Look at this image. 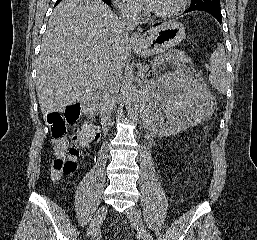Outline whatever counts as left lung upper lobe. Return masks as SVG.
<instances>
[{"instance_id":"5c2ea615","label":"left lung upper lobe","mask_w":257,"mask_h":240,"mask_svg":"<svg viewBox=\"0 0 257 240\" xmlns=\"http://www.w3.org/2000/svg\"><path fill=\"white\" fill-rule=\"evenodd\" d=\"M220 8V0H191L189 9Z\"/></svg>"}]
</instances>
